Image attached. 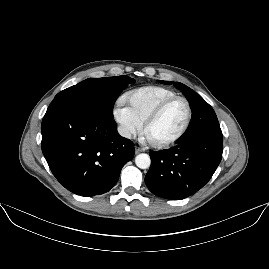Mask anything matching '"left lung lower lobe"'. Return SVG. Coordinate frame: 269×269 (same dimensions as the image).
I'll return each mask as SVG.
<instances>
[{"label":"left lung lower lobe","instance_id":"0a47b994","mask_svg":"<svg viewBox=\"0 0 269 269\" xmlns=\"http://www.w3.org/2000/svg\"><path fill=\"white\" fill-rule=\"evenodd\" d=\"M222 150V133H206L170 149L150 152L152 164L145 183L159 197L184 199L207 184L221 161Z\"/></svg>","mask_w":269,"mask_h":269}]
</instances>
